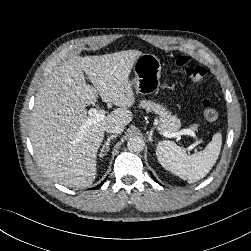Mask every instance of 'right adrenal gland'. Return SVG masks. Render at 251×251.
<instances>
[{"mask_svg":"<svg viewBox=\"0 0 251 251\" xmlns=\"http://www.w3.org/2000/svg\"><path fill=\"white\" fill-rule=\"evenodd\" d=\"M116 137H117V134L108 136L107 141L103 144V146H102V148H101L100 157H103V156H105V155L107 154V152H108L109 149H110V141H111L113 138H116Z\"/></svg>","mask_w":251,"mask_h":251,"instance_id":"2a0ac1e0","label":"right adrenal gland"}]
</instances>
